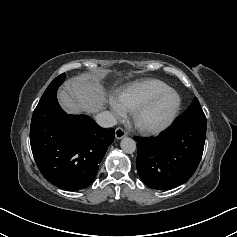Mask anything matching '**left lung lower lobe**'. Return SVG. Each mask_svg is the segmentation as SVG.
<instances>
[{
  "instance_id": "1",
  "label": "left lung lower lobe",
  "mask_w": 237,
  "mask_h": 237,
  "mask_svg": "<svg viewBox=\"0 0 237 237\" xmlns=\"http://www.w3.org/2000/svg\"><path fill=\"white\" fill-rule=\"evenodd\" d=\"M205 136L206 126L173 123L157 138H135L141 180L158 190L185 183L199 165Z\"/></svg>"
}]
</instances>
